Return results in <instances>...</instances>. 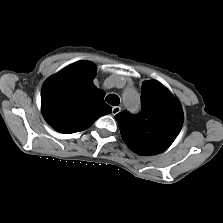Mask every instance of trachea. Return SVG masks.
<instances>
[{"mask_svg": "<svg viewBox=\"0 0 223 223\" xmlns=\"http://www.w3.org/2000/svg\"><path fill=\"white\" fill-rule=\"evenodd\" d=\"M106 101L112 106H118L120 103V99L116 94H108L106 96Z\"/></svg>", "mask_w": 223, "mask_h": 223, "instance_id": "1", "label": "trachea"}]
</instances>
